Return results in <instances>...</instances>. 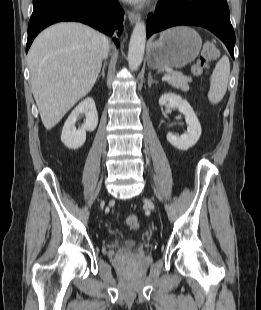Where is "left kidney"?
Here are the masks:
<instances>
[{"label": "left kidney", "mask_w": 261, "mask_h": 310, "mask_svg": "<svg viewBox=\"0 0 261 310\" xmlns=\"http://www.w3.org/2000/svg\"><path fill=\"white\" fill-rule=\"evenodd\" d=\"M159 105L178 109L185 116L187 123V131L181 136L168 133L166 136L168 142L175 148L184 151L194 146L200 138L201 125L188 101L174 93H166L160 97Z\"/></svg>", "instance_id": "5707ae66"}]
</instances>
